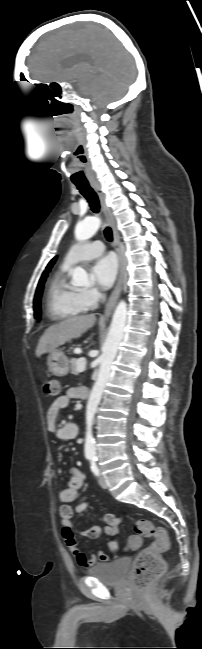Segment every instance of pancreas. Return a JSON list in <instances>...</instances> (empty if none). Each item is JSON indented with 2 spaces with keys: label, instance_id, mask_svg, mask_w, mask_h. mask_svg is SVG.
<instances>
[{
  "label": "pancreas",
  "instance_id": "cf45deb5",
  "mask_svg": "<svg viewBox=\"0 0 202 649\" xmlns=\"http://www.w3.org/2000/svg\"><path fill=\"white\" fill-rule=\"evenodd\" d=\"M77 362H78L77 359H72L70 361V371H71V374H73V375H79V373H80L78 371V369H77Z\"/></svg>",
  "mask_w": 202,
  "mask_h": 649
}]
</instances>
